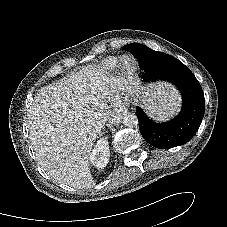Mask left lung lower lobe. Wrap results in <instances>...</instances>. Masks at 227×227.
Returning a JSON list of instances; mask_svg holds the SVG:
<instances>
[{
  "instance_id": "left-lung-lower-lobe-1",
  "label": "left lung lower lobe",
  "mask_w": 227,
  "mask_h": 227,
  "mask_svg": "<svg viewBox=\"0 0 227 227\" xmlns=\"http://www.w3.org/2000/svg\"><path fill=\"white\" fill-rule=\"evenodd\" d=\"M139 59L142 75L146 82L166 80L174 83L183 97L182 110L170 122L155 123L150 120L140 107L136 108L139 129L143 138L158 149L172 148L187 143L197 132L205 110L203 90L194 74L180 61L158 65L161 52L154 51L145 45L138 44L131 49Z\"/></svg>"
}]
</instances>
